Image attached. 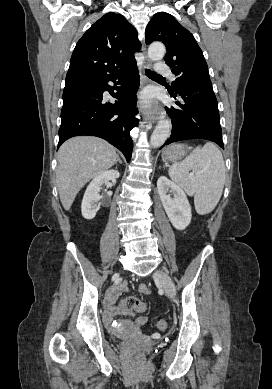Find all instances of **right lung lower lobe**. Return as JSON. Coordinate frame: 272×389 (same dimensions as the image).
Instances as JSON below:
<instances>
[{
    "label": "right lung lower lobe",
    "instance_id": "obj_1",
    "mask_svg": "<svg viewBox=\"0 0 272 389\" xmlns=\"http://www.w3.org/2000/svg\"><path fill=\"white\" fill-rule=\"evenodd\" d=\"M109 81L120 86L111 87ZM138 87L136 63L98 80L66 84L58 147L73 136H97L117 147L129 162L133 149L129 132L138 125L135 118ZM104 91L116 99L114 104L104 101Z\"/></svg>",
    "mask_w": 272,
    "mask_h": 389
}]
</instances>
